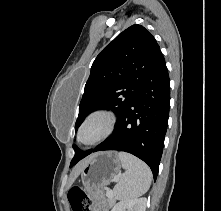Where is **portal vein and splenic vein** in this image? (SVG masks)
<instances>
[{
    "mask_svg": "<svg viewBox=\"0 0 221 211\" xmlns=\"http://www.w3.org/2000/svg\"><path fill=\"white\" fill-rule=\"evenodd\" d=\"M118 180H119V179H118L117 177L114 179L115 182H118ZM113 196H114V195H113L112 190L107 189V197L112 198Z\"/></svg>",
    "mask_w": 221,
    "mask_h": 211,
    "instance_id": "1",
    "label": "portal vein and splenic vein"
}]
</instances>
